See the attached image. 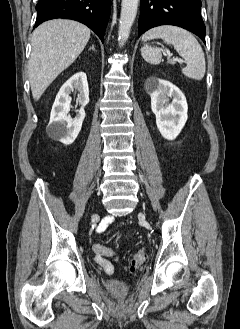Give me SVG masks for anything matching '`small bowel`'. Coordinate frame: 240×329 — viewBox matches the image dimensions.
Wrapping results in <instances>:
<instances>
[{
	"label": "small bowel",
	"instance_id": "obj_1",
	"mask_svg": "<svg viewBox=\"0 0 240 329\" xmlns=\"http://www.w3.org/2000/svg\"><path fill=\"white\" fill-rule=\"evenodd\" d=\"M113 217H107L103 221L101 228H104L108 223L112 222ZM93 251L95 253L94 261L101 267V269L108 275L113 274L114 266L113 263L108 260V257L113 258L114 260L117 259V253L114 249L101 245L95 244L93 246Z\"/></svg>",
	"mask_w": 240,
	"mask_h": 329
}]
</instances>
